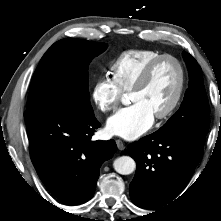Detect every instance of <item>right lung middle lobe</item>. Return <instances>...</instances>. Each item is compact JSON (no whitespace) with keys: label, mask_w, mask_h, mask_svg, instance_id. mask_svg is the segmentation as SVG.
<instances>
[{"label":"right lung middle lobe","mask_w":221,"mask_h":221,"mask_svg":"<svg viewBox=\"0 0 221 221\" xmlns=\"http://www.w3.org/2000/svg\"><path fill=\"white\" fill-rule=\"evenodd\" d=\"M106 48L103 43L66 38L44 54L31 81L27 111L54 107L94 114L90 104L88 66Z\"/></svg>","instance_id":"right-lung-middle-lobe-1"}]
</instances>
